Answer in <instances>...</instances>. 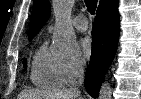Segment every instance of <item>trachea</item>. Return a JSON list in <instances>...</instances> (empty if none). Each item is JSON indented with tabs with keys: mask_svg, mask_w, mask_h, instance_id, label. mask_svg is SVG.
I'll list each match as a JSON object with an SVG mask.
<instances>
[{
	"mask_svg": "<svg viewBox=\"0 0 141 99\" xmlns=\"http://www.w3.org/2000/svg\"><path fill=\"white\" fill-rule=\"evenodd\" d=\"M88 11L93 15L97 7L96 0H85Z\"/></svg>",
	"mask_w": 141,
	"mask_h": 99,
	"instance_id": "3493384b",
	"label": "trachea"
}]
</instances>
